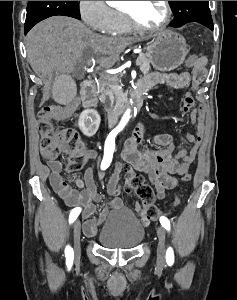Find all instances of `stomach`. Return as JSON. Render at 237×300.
Returning a JSON list of instances; mask_svg holds the SVG:
<instances>
[{
  "mask_svg": "<svg viewBox=\"0 0 237 300\" xmlns=\"http://www.w3.org/2000/svg\"><path fill=\"white\" fill-rule=\"evenodd\" d=\"M139 39H142V35ZM146 51L150 63L157 71H174L182 65L189 53L184 37L169 29L153 35Z\"/></svg>",
  "mask_w": 237,
  "mask_h": 300,
  "instance_id": "obj_1",
  "label": "stomach"
}]
</instances>
